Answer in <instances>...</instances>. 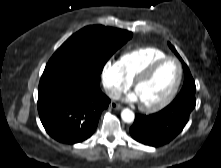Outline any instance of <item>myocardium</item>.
<instances>
[{"label":"myocardium","instance_id":"obj_1","mask_svg":"<svg viewBox=\"0 0 221 168\" xmlns=\"http://www.w3.org/2000/svg\"><path fill=\"white\" fill-rule=\"evenodd\" d=\"M167 61H174L178 66V77L176 80L175 85L173 86L172 90L168 93V95L162 99L161 101L151 104V105H145L140 103V108L145 112H156L158 110H161L162 108L166 107L168 104L171 103V101L176 96L181 82L183 78V67L179 59L173 56H166L161 59H158L151 64H149L145 69H143L133 80H132V87L135 91L136 87L143 81H145L147 78H149L152 73L163 63Z\"/></svg>","mask_w":221,"mask_h":168}]
</instances>
